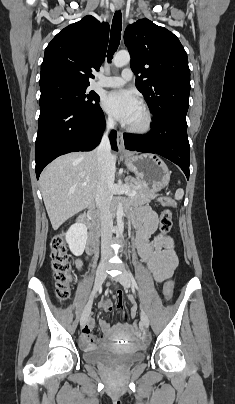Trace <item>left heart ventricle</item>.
<instances>
[{"mask_svg": "<svg viewBox=\"0 0 235 404\" xmlns=\"http://www.w3.org/2000/svg\"><path fill=\"white\" fill-rule=\"evenodd\" d=\"M142 119V111L141 108L139 109V111L136 113V115L134 116V118L132 119V121L129 123L130 125H134L140 122V120Z\"/></svg>", "mask_w": 235, "mask_h": 404, "instance_id": "1", "label": "left heart ventricle"}]
</instances>
